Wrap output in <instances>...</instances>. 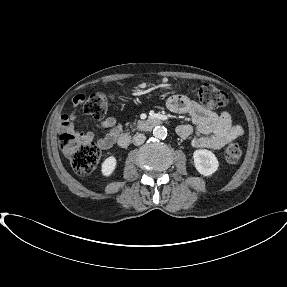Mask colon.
<instances>
[{"instance_id": "colon-1", "label": "colon", "mask_w": 287, "mask_h": 287, "mask_svg": "<svg viewBox=\"0 0 287 287\" xmlns=\"http://www.w3.org/2000/svg\"><path fill=\"white\" fill-rule=\"evenodd\" d=\"M199 102L208 108H222L228 103L227 94L211 84H203L195 89ZM79 105L90 116L103 118L108 110L109 98L105 93L95 92L87 98L79 96ZM60 147L70 159L75 172L79 175H88L96 167L100 159V150L91 140L77 131H65L60 136ZM242 147L238 142L230 143L225 149V159L230 164L239 161Z\"/></svg>"}]
</instances>
